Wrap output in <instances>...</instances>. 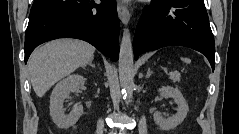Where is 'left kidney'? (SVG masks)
<instances>
[{"mask_svg":"<svg viewBox=\"0 0 239 134\" xmlns=\"http://www.w3.org/2000/svg\"><path fill=\"white\" fill-rule=\"evenodd\" d=\"M158 92L161 96L173 98L178 109L177 113L169 118H164L160 112H155L153 115L154 121L162 130L174 129L186 118L189 111L188 104L177 88L163 86Z\"/></svg>","mask_w":239,"mask_h":134,"instance_id":"1","label":"left kidney"}]
</instances>
